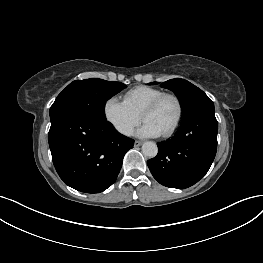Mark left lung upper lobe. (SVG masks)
I'll use <instances>...</instances> for the list:
<instances>
[{
  "label": "left lung upper lobe",
  "mask_w": 263,
  "mask_h": 263,
  "mask_svg": "<svg viewBox=\"0 0 263 263\" xmlns=\"http://www.w3.org/2000/svg\"><path fill=\"white\" fill-rule=\"evenodd\" d=\"M150 84H157V82ZM161 87L170 89L179 98L183 111L182 123L201 114L214 113V104L211 99L187 80L171 79L162 83Z\"/></svg>",
  "instance_id": "obj_1"
}]
</instances>
